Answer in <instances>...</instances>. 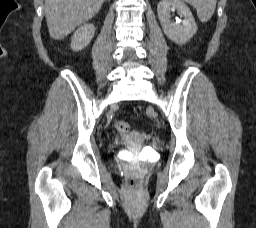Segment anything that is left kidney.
Instances as JSON below:
<instances>
[{"label": "left kidney", "mask_w": 256, "mask_h": 228, "mask_svg": "<svg viewBox=\"0 0 256 228\" xmlns=\"http://www.w3.org/2000/svg\"><path fill=\"white\" fill-rule=\"evenodd\" d=\"M184 17L182 24L172 22L170 11ZM158 18L166 36L177 44L188 42L197 32V25L190 9L180 0H162L157 6Z\"/></svg>", "instance_id": "1"}]
</instances>
